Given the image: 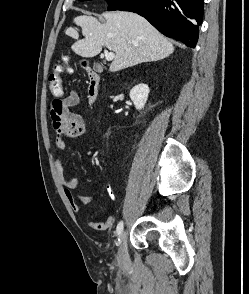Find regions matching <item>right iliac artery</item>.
Returning a JSON list of instances; mask_svg holds the SVG:
<instances>
[{
    "instance_id": "right-iliac-artery-1",
    "label": "right iliac artery",
    "mask_w": 249,
    "mask_h": 294,
    "mask_svg": "<svg viewBox=\"0 0 249 294\" xmlns=\"http://www.w3.org/2000/svg\"><path fill=\"white\" fill-rule=\"evenodd\" d=\"M122 231H123V222H119L118 225H117V229H116V232H117V235L119 236L118 240L120 241V236L122 234Z\"/></svg>"
}]
</instances>
